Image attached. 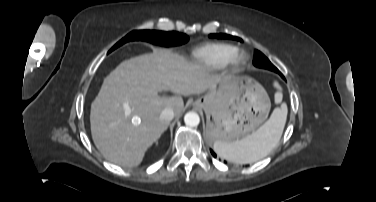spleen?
Instances as JSON below:
<instances>
[{
  "instance_id": "3e777b00",
  "label": "spleen",
  "mask_w": 376,
  "mask_h": 202,
  "mask_svg": "<svg viewBox=\"0 0 376 202\" xmlns=\"http://www.w3.org/2000/svg\"><path fill=\"white\" fill-rule=\"evenodd\" d=\"M278 101L281 95L277 94ZM287 118V106L276 108L269 120L254 133L233 142L216 141L214 151L237 164L254 163L267 156L278 144Z\"/></svg>"
}]
</instances>
